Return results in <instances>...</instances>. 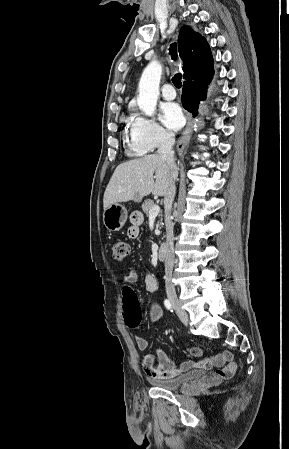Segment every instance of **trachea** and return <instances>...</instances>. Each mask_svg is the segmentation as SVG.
<instances>
[{"instance_id":"1","label":"trachea","mask_w":289,"mask_h":449,"mask_svg":"<svg viewBox=\"0 0 289 449\" xmlns=\"http://www.w3.org/2000/svg\"><path fill=\"white\" fill-rule=\"evenodd\" d=\"M170 55L172 57L173 60L177 59V47L176 44H171L170 47ZM172 82L175 85V87L180 88L182 87V82H181V74L177 73L173 78H172Z\"/></svg>"}]
</instances>
